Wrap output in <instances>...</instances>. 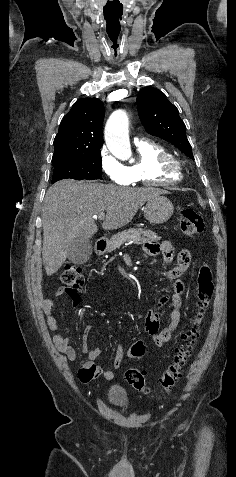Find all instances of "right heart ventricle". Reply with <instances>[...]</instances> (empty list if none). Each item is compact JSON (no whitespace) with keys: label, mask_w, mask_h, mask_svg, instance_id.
Masks as SVG:
<instances>
[{"label":"right heart ventricle","mask_w":236,"mask_h":477,"mask_svg":"<svg viewBox=\"0 0 236 477\" xmlns=\"http://www.w3.org/2000/svg\"><path fill=\"white\" fill-rule=\"evenodd\" d=\"M136 150V162L127 167L130 182L126 186L173 185L181 180L180 173L165 176L158 171L163 159L173 157L163 145L152 140H142L136 143Z\"/></svg>","instance_id":"right-heart-ventricle-1"}]
</instances>
